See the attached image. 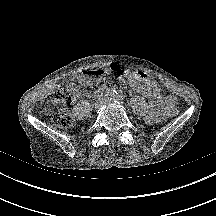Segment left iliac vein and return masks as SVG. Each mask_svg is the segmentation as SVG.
Returning <instances> with one entry per match:
<instances>
[{
	"label": "left iliac vein",
	"instance_id": "4c4485c4",
	"mask_svg": "<svg viewBox=\"0 0 216 216\" xmlns=\"http://www.w3.org/2000/svg\"><path fill=\"white\" fill-rule=\"evenodd\" d=\"M105 103H106V104H109V103H110V101L106 100V101H105Z\"/></svg>",
	"mask_w": 216,
	"mask_h": 216
}]
</instances>
